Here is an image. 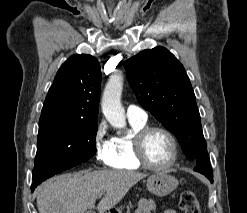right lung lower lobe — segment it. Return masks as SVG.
<instances>
[{
  "label": "right lung lower lobe",
  "mask_w": 247,
  "mask_h": 213,
  "mask_svg": "<svg viewBox=\"0 0 247 213\" xmlns=\"http://www.w3.org/2000/svg\"><path fill=\"white\" fill-rule=\"evenodd\" d=\"M37 183H33L32 186H31V190L34 191L35 187H37Z\"/></svg>",
  "instance_id": "98d812e1"
}]
</instances>
